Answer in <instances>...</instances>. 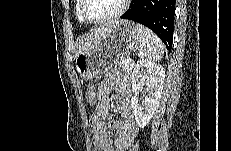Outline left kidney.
I'll return each mask as SVG.
<instances>
[{"instance_id":"5707ae66","label":"left kidney","mask_w":231,"mask_h":151,"mask_svg":"<svg viewBox=\"0 0 231 151\" xmlns=\"http://www.w3.org/2000/svg\"><path fill=\"white\" fill-rule=\"evenodd\" d=\"M165 78L164 68L157 63L140 60L135 65L132 72V91L135 95L131 98L136 124L144 128L155 114ZM145 87V99L143 104H139L137 95Z\"/></svg>"}]
</instances>
